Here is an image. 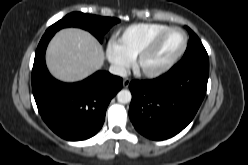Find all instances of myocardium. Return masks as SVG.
I'll list each match as a JSON object with an SVG mask.
<instances>
[{
    "label": "myocardium",
    "mask_w": 248,
    "mask_h": 165,
    "mask_svg": "<svg viewBox=\"0 0 248 165\" xmlns=\"http://www.w3.org/2000/svg\"><path fill=\"white\" fill-rule=\"evenodd\" d=\"M172 31H178L183 36V43L181 48L175 53L168 61H166L163 65L153 68L147 69L143 67V61L146 56L156 47L158 42L168 33ZM188 46V36L186 32L180 27H167L164 30L155 34L146 44L145 46L138 52L135 56L134 60V68L135 70L142 76L154 78L158 77L167 71H169L184 55Z\"/></svg>",
    "instance_id": "myocardium-1"
}]
</instances>
